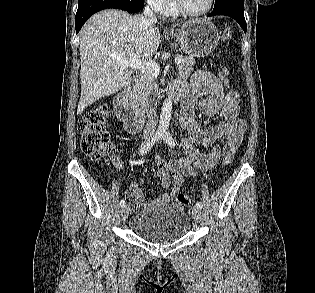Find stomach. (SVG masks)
<instances>
[{"mask_svg":"<svg viewBox=\"0 0 315 293\" xmlns=\"http://www.w3.org/2000/svg\"><path fill=\"white\" fill-rule=\"evenodd\" d=\"M171 35L189 57L204 58L218 46L220 35L215 25L207 20H192Z\"/></svg>","mask_w":315,"mask_h":293,"instance_id":"stomach-1","label":"stomach"}]
</instances>
